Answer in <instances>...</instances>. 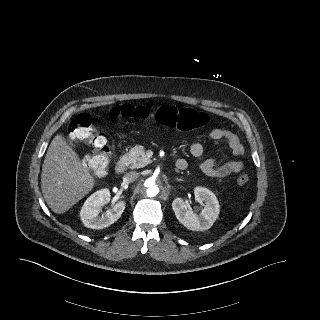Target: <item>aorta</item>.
<instances>
[{
	"instance_id": "1",
	"label": "aorta",
	"mask_w": 320,
	"mask_h": 320,
	"mask_svg": "<svg viewBox=\"0 0 320 320\" xmlns=\"http://www.w3.org/2000/svg\"><path fill=\"white\" fill-rule=\"evenodd\" d=\"M143 193L148 198H155L161 190V183L152 176H145L142 182Z\"/></svg>"
}]
</instances>
